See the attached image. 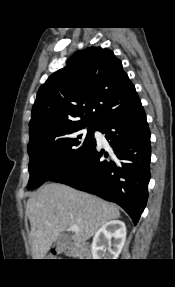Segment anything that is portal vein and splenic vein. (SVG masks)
<instances>
[{
	"label": "portal vein and splenic vein",
	"instance_id": "obj_1",
	"mask_svg": "<svg viewBox=\"0 0 175 287\" xmlns=\"http://www.w3.org/2000/svg\"><path fill=\"white\" fill-rule=\"evenodd\" d=\"M70 230H71V231H75V232L78 231L77 225H76V224L71 225V226H70Z\"/></svg>",
	"mask_w": 175,
	"mask_h": 287
}]
</instances>
